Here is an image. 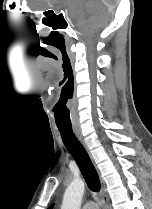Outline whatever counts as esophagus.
<instances>
[{
	"label": "esophagus",
	"instance_id": "1",
	"mask_svg": "<svg viewBox=\"0 0 152 209\" xmlns=\"http://www.w3.org/2000/svg\"><path fill=\"white\" fill-rule=\"evenodd\" d=\"M73 131H74V134L76 135L77 139L79 140V142L82 144V146L88 152V154H90L89 149L86 145V142H85L80 130L77 129V128H73ZM101 197H102V202H103V205H104V209H108L109 206H108V201H107V198H106V195H105L104 187H102Z\"/></svg>",
	"mask_w": 152,
	"mask_h": 209
}]
</instances>
